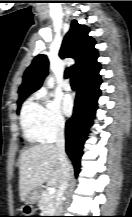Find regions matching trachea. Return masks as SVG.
Returning <instances> with one entry per match:
<instances>
[{"label":"trachea","instance_id":"1","mask_svg":"<svg viewBox=\"0 0 132 217\" xmlns=\"http://www.w3.org/2000/svg\"><path fill=\"white\" fill-rule=\"evenodd\" d=\"M71 86L73 89H76L77 88V80L75 78H71Z\"/></svg>","mask_w":132,"mask_h":217}]
</instances>
